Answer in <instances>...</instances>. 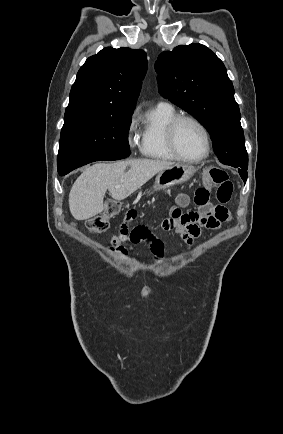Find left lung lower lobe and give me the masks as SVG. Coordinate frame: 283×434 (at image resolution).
I'll list each match as a JSON object with an SVG mask.
<instances>
[{"label": "left lung lower lobe", "mask_w": 283, "mask_h": 434, "mask_svg": "<svg viewBox=\"0 0 283 434\" xmlns=\"http://www.w3.org/2000/svg\"><path fill=\"white\" fill-rule=\"evenodd\" d=\"M236 168V167H235ZM247 166L238 167L239 174L244 182H246L247 179Z\"/></svg>", "instance_id": "obj_1"}]
</instances>
